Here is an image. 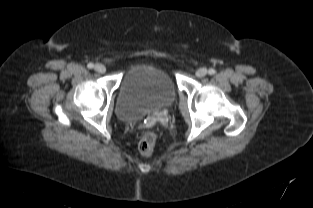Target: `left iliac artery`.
Returning a JSON list of instances; mask_svg holds the SVG:
<instances>
[{
  "label": "left iliac artery",
  "instance_id": "obj_1",
  "mask_svg": "<svg viewBox=\"0 0 313 208\" xmlns=\"http://www.w3.org/2000/svg\"><path fill=\"white\" fill-rule=\"evenodd\" d=\"M215 69H213V68H210L209 69V71H208V73L210 74V75H213V74H215Z\"/></svg>",
  "mask_w": 313,
  "mask_h": 208
}]
</instances>
